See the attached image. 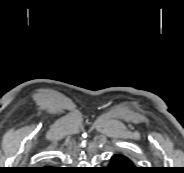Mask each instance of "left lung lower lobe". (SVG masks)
Here are the masks:
<instances>
[{
    "mask_svg": "<svg viewBox=\"0 0 184 173\" xmlns=\"http://www.w3.org/2000/svg\"><path fill=\"white\" fill-rule=\"evenodd\" d=\"M111 173H141V168L134 166L132 160L124 154H115L110 161Z\"/></svg>",
    "mask_w": 184,
    "mask_h": 173,
    "instance_id": "left-lung-lower-lobe-1",
    "label": "left lung lower lobe"
}]
</instances>
